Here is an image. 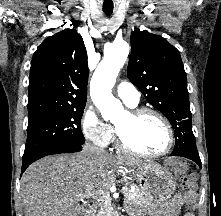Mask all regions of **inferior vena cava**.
Here are the masks:
<instances>
[{"label":"inferior vena cava","mask_w":221,"mask_h":216,"mask_svg":"<svg viewBox=\"0 0 221 216\" xmlns=\"http://www.w3.org/2000/svg\"><path fill=\"white\" fill-rule=\"evenodd\" d=\"M84 150L91 154H103L104 153V150L102 148H98L88 143L84 146Z\"/></svg>","instance_id":"1"}]
</instances>
